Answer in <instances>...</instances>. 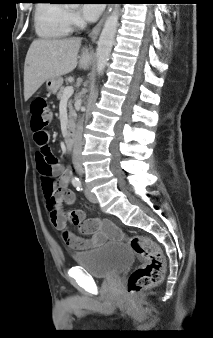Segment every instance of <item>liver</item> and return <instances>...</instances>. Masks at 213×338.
<instances>
[{
    "label": "liver",
    "instance_id": "liver-1",
    "mask_svg": "<svg viewBox=\"0 0 213 338\" xmlns=\"http://www.w3.org/2000/svg\"><path fill=\"white\" fill-rule=\"evenodd\" d=\"M80 46V38L34 40L25 58V101L48 79L66 75L73 71L77 65L81 69H89L91 56L88 49H84L79 57Z\"/></svg>",
    "mask_w": 213,
    "mask_h": 338
}]
</instances>
